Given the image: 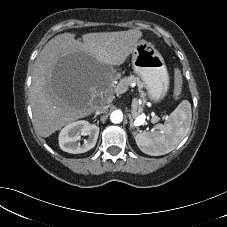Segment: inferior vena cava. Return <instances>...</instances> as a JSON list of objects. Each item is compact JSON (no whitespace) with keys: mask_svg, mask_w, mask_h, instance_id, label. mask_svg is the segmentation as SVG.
<instances>
[{"mask_svg":"<svg viewBox=\"0 0 227 227\" xmlns=\"http://www.w3.org/2000/svg\"><path fill=\"white\" fill-rule=\"evenodd\" d=\"M108 106L105 103L94 105V110L96 114L104 113L107 110Z\"/></svg>","mask_w":227,"mask_h":227,"instance_id":"inferior-vena-cava-1","label":"inferior vena cava"}]
</instances>
